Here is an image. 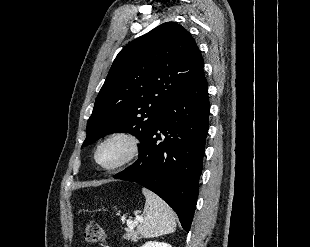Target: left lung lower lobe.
Wrapping results in <instances>:
<instances>
[{"label":"left lung lower lobe","mask_w":310,"mask_h":247,"mask_svg":"<svg viewBox=\"0 0 310 247\" xmlns=\"http://www.w3.org/2000/svg\"><path fill=\"white\" fill-rule=\"evenodd\" d=\"M209 110L202 69L165 108L140 147L139 159L113 176L136 182L160 196L177 213L186 232L190 230L199 192Z\"/></svg>","instance_id":"left-lung-lower-lobe-1"}]
</instances>
